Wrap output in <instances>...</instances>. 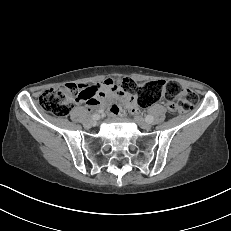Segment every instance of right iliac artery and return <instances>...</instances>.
Masks as SVG:
<instances>
[{"instance_id":"1","label":"right iliac artery","mask_w":231,"mask_h":231,"mask_svg":"<svg viewBox=\"0 0 231 231\" xmlns=\"http://www.w3.org/2000/svg\"><path fill=\"white\" fill-rule=\"evenodd\" d=\"M98 117H100L98 114L92 115V119H98Z\"/></svg>"}]
</instances>
